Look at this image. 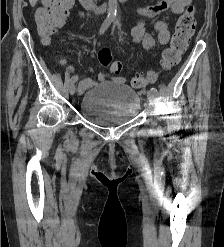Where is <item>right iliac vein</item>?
Segmentation results:
<instances>
[{"label": "right iliac vein", "instance_id": "obj_1", "mask_svg": "<svg viewBox=\"0 0 224 247\" xmlns=\"http://www.w3.org/2000/svg\"><path fill=\"white\" fill-rule=\"evenodd\" d=\"M75 91H76V86H75L74 83H72L70 85L69 92H70L71 95H73L75 93Z\"/></svg>", "mask_w": 224, "mask_h": 247}]
</instances>
